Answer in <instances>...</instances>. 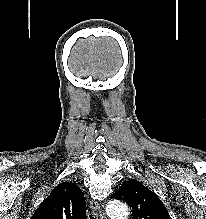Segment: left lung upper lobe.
I'll return each instance as SVG.
<instances>
[{"label": "left lung upper lobe", "mask_w": 206, "mask_h": 219, "mask_svg": "<svg viewBox=\"0 0 206 219\" xmlns=\"http://www.w3.org/2000/svg\"><path fill=\"white\" fill-rule=\"evenodd\" d=\"M111 197L125 201L132 208L133 219H170L158 196L135 179L123 183Z\"/></svg>", "instance_id": "5c2ea615"}]
</instances>
